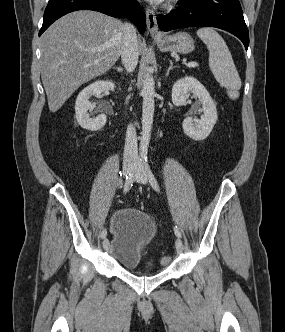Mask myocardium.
I'll return each instance as SVG.
<instances>
[{"instance_id": "myocardium-1", "label": "myocardium", "mask_w": 285, "mask_h": 332, "mask_svg": "<svg viewBox=\"0 0 285 332\" xmlns=\"http://www.w3.org/2000/svg\"><path fill=\"white\" fill-rule=\"evenodd\" d=\"M171 2H176V1H178V0H170Z\"/></svg>"}]
</instances>
